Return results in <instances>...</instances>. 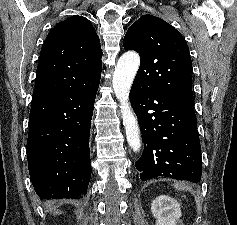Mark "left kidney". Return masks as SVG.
<instances>
[{
	"mask_svg": "<svg viewBox=\"0 0 237 225\" xmlns=\"http://www.w3.org/2000/svg\"><path fill=\"white\" fill-rule=\"evenodd\" d=\"M151 212L156 218V225H177V220L181 216V207L175 199L160 195L153 200Z\"/></svg>",
	"mask_w": 237,
	"mask_h": 225,
	"instance_id": "left-kidney-1",
	"label": "left kidney"
}]
</instances>
